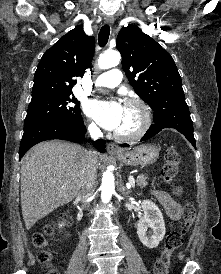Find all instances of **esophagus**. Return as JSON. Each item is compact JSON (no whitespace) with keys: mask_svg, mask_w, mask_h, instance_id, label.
Instances as JSON below:
<instances>
[{"mask_svg":"<svg viewBox=\"0 0 221 274\" xmlns=\"http://www.w3.org/2000/svg\"><path fill=\"white\" fill-rule=\"evenodd\" d=\"M114 18L113 17H106L105 18V23L108 25L113 24ZM107 151L110 154H119L121 153V149L114 143H109L107 144Z\"/></svg>","mask_w":221,"mask_h":274,"instance_id":"esophagus-1","label":"esophagus"}]
</instances>
